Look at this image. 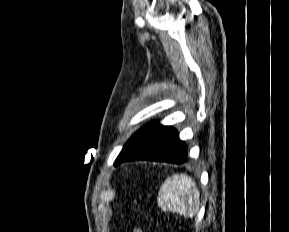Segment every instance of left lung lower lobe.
<instances>
[{
	"label": "left lung lower lobe",
	"instance_id": "obj_1",
	"mask_svg": "<svg viewBox=\"0 0 289 232\" xmlns=\"http://www.w3.org/2000/svg\"><path fill=\"white\" fill-rule=\"evenodd\" d=\"M186 158L185 142L179 139L173 127L164 126L124 161L151 160L182 164Z\"/></svg>",
	"mask_w": 289,
	"mask_h": 232
}]
</instances>
